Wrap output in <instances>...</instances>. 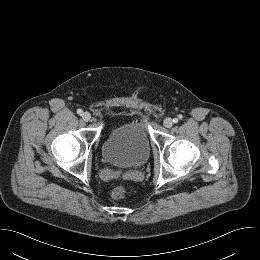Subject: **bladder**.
<instances>
[{
    "mask_svg": "<svg viewBox=\"0 0 260 260\" xmlns=\"http://www.w3.org/2000/svg\"><path fill=\"white\" fill-rule=\"evenodd\" d=\"M151 141L145 123L133 118L129 123L110 129L101 154L105 162L124 168L143 165L149 158Z\"/></svg>",
    "mask_w": 260,
    "mask_h": 260,
    "instance_id": "31cf9c89",
    "label": "bladder"
}]
</instances>
